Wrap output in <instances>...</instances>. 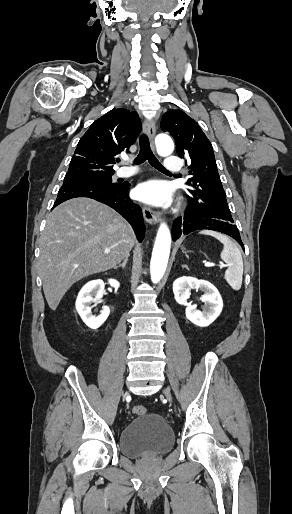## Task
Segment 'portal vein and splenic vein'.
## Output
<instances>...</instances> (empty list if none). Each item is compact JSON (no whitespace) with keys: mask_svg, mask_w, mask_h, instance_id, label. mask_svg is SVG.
<instances>
[{"mask_svg":"<svg viewBox=\"0 0 292 514\" xmlns=\"http://www.w3.org/2000/svg\"><path fill=\"white\" fill-rule=\"evenodd\" d=\"M105 254H109L108 250H105ZM204 266H206V268H210V266H216V264H210V262H206ZM221 266H223V264H221Z\"/></svg>","mask_w":292,"mask_h":514,"instance_id":"obj_1","label":"portal vein and splenic vein"}]
</instances>
